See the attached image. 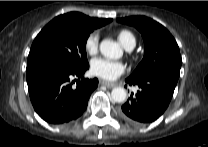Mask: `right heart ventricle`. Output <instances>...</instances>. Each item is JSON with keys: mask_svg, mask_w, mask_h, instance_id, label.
Here are the masks:
<instances>
[{"mask_svg": "<svg viewBox=\"0 0 208 147\" xmlns=\"http://www.w3.org/2000/svg\"><path fill=\"white\" fill-rule=\"evenodd\" d=\"M117 38L122 46L127 50L133 49L136 45L135 36L129 30L122 29L118 31Z\"/></svg>", "mask_w": 208, "mask_h": 147, "instance_id": "e07e8e85", "label": "right heart ventricle"}]
</instances>
